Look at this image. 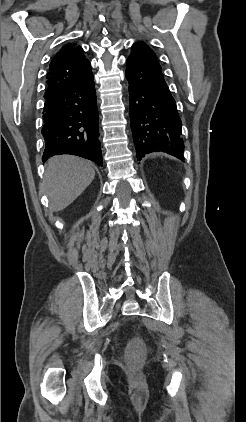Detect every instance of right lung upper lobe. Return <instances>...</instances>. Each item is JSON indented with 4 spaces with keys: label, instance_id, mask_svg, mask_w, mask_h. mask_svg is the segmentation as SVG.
Returning <instances> with one entry per match:
<instances>
[{
    "label": "right lung upper lobe",
    "instance_id": "1",
    "mask_svg": "<svg viewBox=\"0 0 246 422\" xmlns=\"http://www.w3.org/2000/svg\"><path fill=\"white\" fill-rule=\"evenodd\" d=\"M92 75L91 65L81 46L67 43L50 62L45 98L84 81Z\"/></svg>",
    "mask_w": 246,
    "mask_h": 422
}]
</instances>
